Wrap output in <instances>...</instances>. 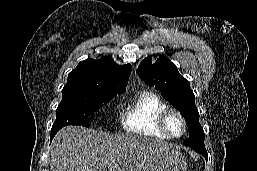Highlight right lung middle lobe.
Wrapping results in <instances>:
<instances>
[{"label":"right lung middle lobe","mask_w":257,"mask_h":171,"mask_svg":"<svg viewBox=\"0 0 257 171\" xmlns=\"http://www.w3.org/2000/svg\"><path fill=\"white\" fill-rule=\"evenodd\" d=\"M119 94L96 88H63L62 100L57 107L56 120L52 128H62L67 125L88 127L89 116Z\"/></svg>","instance_id":"right-lung-middle-lobe-1"}]
</instances>
